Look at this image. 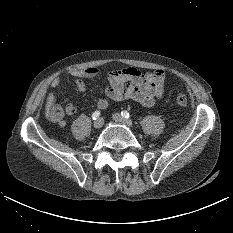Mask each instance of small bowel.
<instances>
[{
    "mask_svg": "<svg viewBox=\"0 0 233 233\" xmlns=\"http://www.w3.org/2000/svg\"><path fill=\"white\" fill-rule=\"evenodd\" d=\"M77 89L84 92L87 89V80L100 78L106 82L105 93L107 98L98 99V109H107L110 101L131 99L145 107H152L162 98L164 93L165 73L163 70L141 71L136 67H127L104 71L96 67L72 70ZM62 81L55 78L50 86L59 87ZM77 111L75 105L68 103L62 106L57 103V94L50 93L46 98L45 116L60 127L66 126L65 116H71Z\"/></svg>",
    "mask_w": 233,
    "mask_h": 233,
    "instance_id": "1",
    "label": "small bowel"
}]
</instances>
